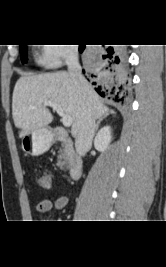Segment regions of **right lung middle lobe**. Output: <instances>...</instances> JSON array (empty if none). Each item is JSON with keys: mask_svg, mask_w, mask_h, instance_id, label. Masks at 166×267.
<instances>
[{"mask_svg": "<svg viewBox=\"0 0 166 267\" xmlns=\"http://www.w3.org/2000/svg\"><path fill=\"white\" fill-rule=\"evenodd\" d=\"M20 54L22 62L25 63L27 61L26 45H20Z\"/></svg>", "mask_w": 166, "mask_h": 267, "instance_id": "1", "label": "right lung middle lobe"}]
</instances>
